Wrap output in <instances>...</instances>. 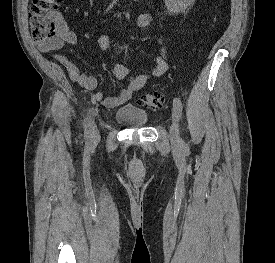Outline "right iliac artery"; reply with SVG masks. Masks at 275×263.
<instances>
[{"instance_id": "1", "label": "right iliac artery", "mask_w": 275, "mask_h": 263, "mask_svg": "<svg viewBox=\"0 0 275 263\" xmlns=\"http://www.w3.org/2000/svg\"><path fill=\"white\" fill-rule=\"evenodd\" d=\"M93 115H94V108H91L88 112V115L85 120V132L84 136L87 141L91 140V132L93 126Z\"/></svg>"}]
</instances>
